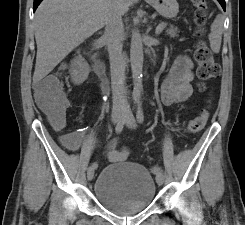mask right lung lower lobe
<instances>
[{
  "mask_svg": "<svg viewBox=\"0 0 245 225\" xmlns=\"http://www.w3.org/2000/svg\"><path fill=\"white\" fill-rule=\"evenodd\" d=\"M42 2V0H34V11L36 10V8L38 7V5Z\"/></svg>",
  "mask_w": 245,
  "mask_h": 225,
  "instance_id": "obj_1",
  "label": "right lung lower lobe"
}]
</instances>
